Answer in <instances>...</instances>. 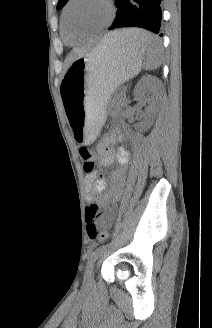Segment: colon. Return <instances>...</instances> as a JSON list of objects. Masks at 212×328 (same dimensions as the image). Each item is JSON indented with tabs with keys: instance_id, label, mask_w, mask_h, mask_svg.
Wrapping results in <instances>:
<instances>
[{
	"instance_id": "5ec220e1",
	"label": "colon",
	"mask_w": 212,
	"mask_h": 328,
	"mask_svg": "<svg viewBox=\"0 0 212 328\" xmlns=\"http://www.w3.org/2000/svg\"><path fill=\"white\" fill-rule=\"evenodd\" d=\"M80 155L84 162V171H93L95 157L92 149L88 146H83L80 148ZM100 215L101 209L97 204L92 203L86 207L87 233L93 241H102L106 237L105 232L98 222Z\"/></svg>"
}]
</instances>
